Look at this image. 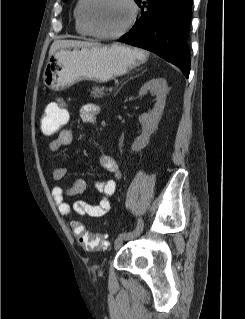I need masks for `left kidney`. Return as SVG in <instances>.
I'll list each match as a JSON object with an SVG mask.
<instances>
[{"mask_svg":"<svg viewBox=\"0 0 245 319\" xmlns=\"http://www.w3.org/2000/svg\"><path fill=\"white\" fill-rule=\"evenodd\" d=\"M148 91L157 96L156 103L151 111L139 116V121L142 124V134L133 143L132 147L135 151L144 148L149 143L151 134L157 129L158 122L165 107L166 94L168 91L167 83L161 78L151 79L141 87L139 95L143 96Z\"/></svg>","mask_w":245,"mask_h":319,"instance_id":"left-kidney-1","label":"left kidney"}]
</instances>
